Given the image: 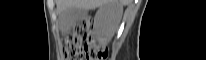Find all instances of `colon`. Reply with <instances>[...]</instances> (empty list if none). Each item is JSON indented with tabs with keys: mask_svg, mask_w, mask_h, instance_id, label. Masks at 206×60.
I'll return each mask as SVG.
<instances>
[{
	"mask_svg": "<svg viewBox=\"0 0 206 60\" xmlns=\"http://www.w3.org/2000/svg\"><path fill=\"white\" fill-rule=\"evenodd\" d=\"M62 53L65 60H101L107 50L95 44L91 19L78 23L63 40Z\"/></svg>",
	"mask_w": 206,
	"mask_h": 60,
	"instance_id": "colon-1",
	"label": "colon"
}]
</instances>
